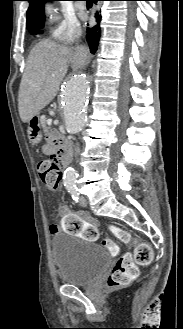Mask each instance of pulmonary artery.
Masks as SVG:
<instances>
[{
    "instance_id": "obj_1",
    "label": "pulmonary artery",
    "mask_w": 183,
    "mask_h": 329,
    "mask_svg": "<svg viewBox=\"0 0 183 329\" xmlns=\"http://www.w3.org/2000/svg\"><path fill=\"white\" fill-rule=\"evenodd\" d=\"M76 7L79 11H83L86 8L84 4H77Z\"/></svg>"
}]
</instances>
